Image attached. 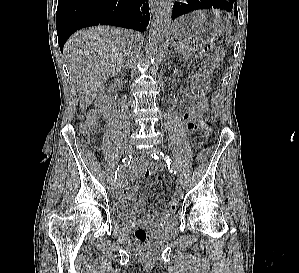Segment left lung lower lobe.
Segmentation results:
<instances>
[{
	"label": "left lung lower lobe",
	"mask_w": 299,
	"mask_h": 273,
	"mask_svg": "<svg viewBox=\"0 0 299 273\" xmlns=\"http://www.w3.org/2000/svg\"><path fill=\"white\" fill-rule=\"evenodd\" d=\"M210 8L224 9L226 11L233 10L238 17L236 0H190L187 3L177 2L173 6L172 19L194 10Z\"/></svg>",
	"instance_id": "1"
}]
</instances>
